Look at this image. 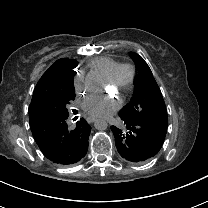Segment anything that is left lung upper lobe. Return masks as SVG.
Masks as SVG:
<instances>
[{"instance_id":"5c2ea615","label":"left lung upper lobe","mask_w":208,"mask_h":208,"mask_svg":"<svg viewBox=\"0 0 208 208\" xmlns=\"http://www.w3.org/2000/svg\"><path fill=\"white\" fill-rule=\"evenodd\" d=\"M130 57L138 67L134 96L120 111L129 117H137L155 123L167 130L168 117L161 91L145 60L134 52Z\"/></svg>"}]
</instances>
